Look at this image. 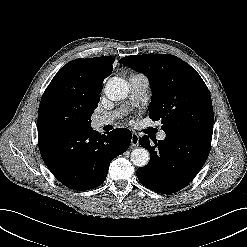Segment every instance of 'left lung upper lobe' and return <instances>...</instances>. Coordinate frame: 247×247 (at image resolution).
Wrapping results in <instances>:
<instances>
[{
  "instance_id": "1",
  "label": "left lung upper lobe",
  "mask_w": 247,
  "mask_h": 247,
  "mask_svg": "<svg viewBox=\"0 0 247 247\" xmlns=\"http://www.w3.org/2000/svg\"><path fill=\"white\" fill-rule=\"evenodd\" d=\"M120 63L144 73L153 91L149 116L161 120L166 134L212 138L213 107L210 92L197 71L169 54L126 56Z\"/></svg>"
}]
</instances>
